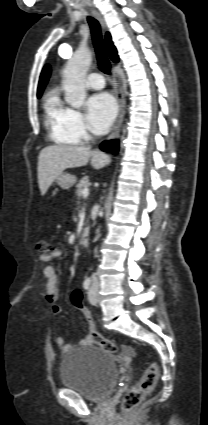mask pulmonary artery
Returning a JSON list of instances; mask_svg holds the SVG:
<instances>
[{
    "instance_id": "obj_1",
    "label": "pulmonary artery",
    "mask_w": 208,
    "mask_h": 425,
    "mask_svg": "<svg viewBox=\"0 0 208 425\" xmlns=\"http://www.w3.org/2000/svg\"><path fill=\"white\" fill-rule=\"evenodd\" d=\"M86 85L91 89H102L105 86L103 75L97 72L90 73L87 77Z\"/></svg>"
}]
</instances>
